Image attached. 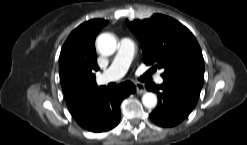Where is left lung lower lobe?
Segmentation results:
<instances>
[{
  "label": "left lung lower lobe",
  "mask_w": 247,
  "mask_h": 145,
  "mask_svg": "<svg viewBox=\"0 0 247 145\" xmlns=\"http://www.w3.org/2000/svg\"><path fill=\"white\" fill-rule=\"evenodd\" d=\"M163 80L161 85L146 84L147 90L157 93L159 101L150 118L159 126L172 127L191 113L201 89L179 80Z\"/></svg>",
  "instance_id": "1"
}]
</instances>
